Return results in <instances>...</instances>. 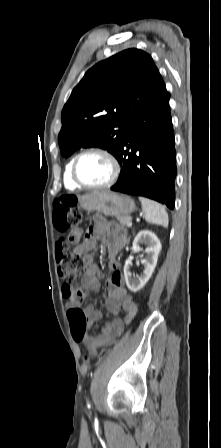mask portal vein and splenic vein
Instances as JSON below:
<instances>
[{
	"mask_svg": "<svg viewBox=\"0 0 221 448\" xmlns=\"http://www.w3.org/2000/svg\"><path fill=\"white\" fill-rule=\"evenodd\" d=\"M127 227H132V222L131 221H129L128 223H127Z\"/></svg>",
	"mask_w": 221,
	"mask_h": 448,
	"instance_id": "portal-vein-and-splenic-vein-1",
	"label": "portal vein and splenic vein"
}]
</instances>
